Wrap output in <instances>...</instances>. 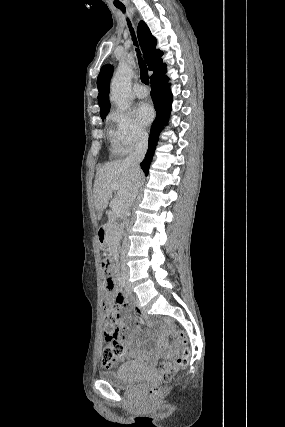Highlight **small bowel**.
<instances>
[{"label":"small bowel","mask_w":285,"mask_h":427,"mask_svg":"<svg viewBox=\"0 0 285 427\" xmlns=\"http://www.w3.org/2000/svg\"><path fill=\"white\" fill-rule=\"evenodd\" d=\"M118 298L121 303V311L116 317V324L120 337H122L128 348L127 352L118 358V361L133 360L140 364H148L149 357L158 353L156 349L141 348V341L136 339L139 330V319L137 317L132 320V328L126 324L128 317L127 309L129 307L122 292L118 293Z\"/></svg>","instance_id":"1"}]
</instances>
